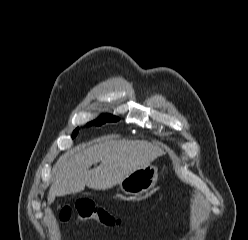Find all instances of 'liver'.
Returning <instances> with one entry per match:
<instances>
[{
	"mask_svg": "<svg viewBox=\"0 0 248 240\" xmlns=\"http://www.w3.org/2000/svg\"><path fill=\"white\" fill-rule=\"evenodd\" d=\"M163 154L161 148L147 141L104 140L89 147L80 146L63 154L55 164L48 203L55 197L79 193L85 186L94 190L111 189ZM98 162V167L90 169Z\"/></svg>",
	"mask_w": 248,
	"mask_h": 240,
	"instance_id": "1",
	"label": "liver"
}]
</instances>
